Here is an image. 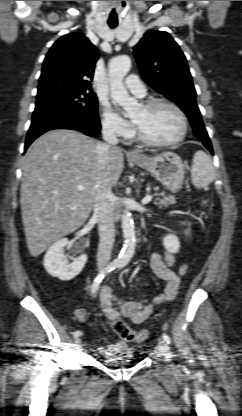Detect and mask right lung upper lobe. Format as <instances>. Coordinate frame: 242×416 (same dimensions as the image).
<instances>
[{"mask_svg": "<svg viewBox=\"0 0 242 416\" xmlns=\"http://www.w3.org/2000/svg\"><path fill=\"white\" fill-rule=\"evenodd\" d=\"M99 58L96 47L82 33L59 38L47 53L39 78L38 94L70 88L92 92L89 81Z\"/></svg>", "mask_w": 242, "mask_h": 416, "instance_id": "right-lung-upper-lobe-1", "label": "right lung upper lobe"}]
</instances>
